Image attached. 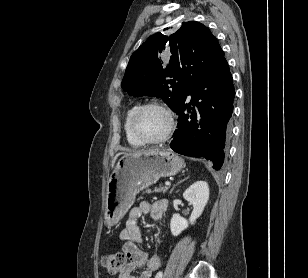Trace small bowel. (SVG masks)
I'll return each instance as SVG.
<instances>
[{"label":"small bowel","instance_id":"obj_1","mask_svg":"<svg viewBox=\"0 0 308 278\" xmlns=\"http://www.w3.org/2000/svg\"><path fill=\"white\" fill-rule=\"evenodd\" d=\"M168 203L165 199L155 202H142L139 206L130 209L124 229L120 232L119 239L122 242L123 253L129 260L120 272L118 278H150L152 273L159 269L161 259L157 252L147 254L138 247L143 241L142 232L138 226V220L142 215H150L158 225L167 211ZM158 236H162L159 228ZM142 269L139 276L134 272Z\"/></svg>","mask_w":308,"mask_h":278}]
</instances>
